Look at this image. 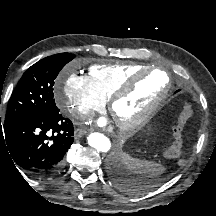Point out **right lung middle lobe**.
Segmentation results:
<instances>
[{"label": "right lung middle lobe", "mask_w": 216, "mask_h": 216, "mask_svg": "<svg viewBox=\"0 0 216 216\" xmlns=\"http://www.w3.org/2000/svg\"><path fill=\"white\" fill-rule=\"evenodd\" d=\"M74 57L75 55L69 53L56 54L32 65L12 93L4 123L38 114L59 112L53 99L54 80L60 70Z\"/></svg>", "instance_id": "obj_1"}]
</instances>
